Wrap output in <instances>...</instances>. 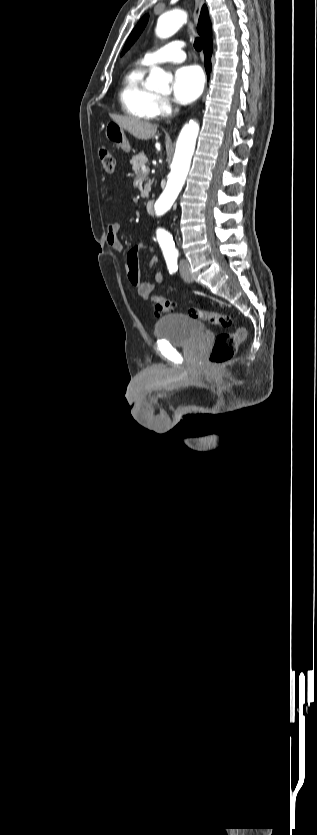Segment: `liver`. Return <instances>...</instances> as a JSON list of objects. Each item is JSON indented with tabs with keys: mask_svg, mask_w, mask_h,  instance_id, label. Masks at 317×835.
Segmentation results:
<instances>
[{
	"mask_svg": "<svg viewBox=\"0 0 317 835\" xmlns=\"http://www.w3.org/2000/svg\"><path fill=\"white\" fill-rule=\"evenodd\" d=\"M113 121L139 140H149L157 132V125L137 118L111 116Z\"/></svg>",
	"mask_w": 317,
	"mask_h": 835,
	"instance_id": "liver-1",
	"label": "liver"
}]
</instances>
